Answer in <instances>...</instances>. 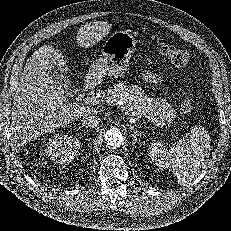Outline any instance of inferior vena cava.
I'll list each match as a JSON object with an SVG mask.
<instances>
[{"mask_svg":"<svg viewBox=\"0 0 231 231\" xmlns=\"http://www.w3.org/2000/svg\"><path fill=\"white\" fill-rule=\"evenodd\" d=\"M99 122L98 116L90 112L86 113L81 119L82 126L86 128H94L99 125Z\"/></svg>","mask_w":231,"mask_h":231,"instance_id":"1","label":"inferior vena cava"}]
</instances>
